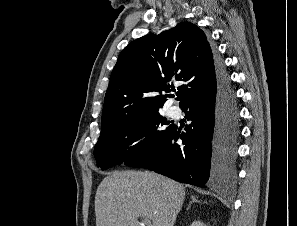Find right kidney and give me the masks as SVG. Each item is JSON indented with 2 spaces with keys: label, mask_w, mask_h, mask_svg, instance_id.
Returning <instances> with one entry per match:
<instances>
[{
  "label": "right kidney",
  "mask_w": 297,
  "mask_h": 226,
  "mask_svg": "<svg viewBox=\"0 0 297 226\" xmlns=\"http://www.w3.org/2000/svg\"><path fill=\"white\" fill-rule=\"evenodd\" d=\"M191 226H205L201 221H194Z\"/></svg>",
  "instance_id": "1"
}]
</instances>
